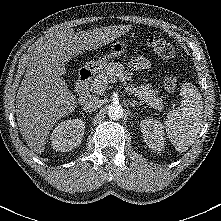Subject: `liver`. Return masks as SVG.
<instances>
[{
    "label": "liver",
    "instance_id": "6515ba94",
    "mask_svg": "<svg viewBox=\"0 0 221 221\" xmlns=\"http://www.w3.org/2000/svg\"><path fill=\"white\" fill-rule=\"evenodd\" d=\"M130 26L96 28L75 33H51L33 48L16 96L17 123L23 138L37 154L44 151L50 130L77 107L76 96L62 78L64 63L86 50L114 41Z\"/></svg>",
    "mask_w": 221,
    "mask_h": 221
}]
</instances>
